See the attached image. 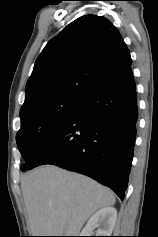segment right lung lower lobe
<instances>
[{
	"mask_svg": "<svg viewBox=\"0 0 158 237\" xmlns=\"http://www.w3.org/2000/svg\"><path fill=\"white\" fill-rule=\"evenodd\" d=\"M137 119L136 87L129 67L93 91L22 170L54 164L95 179L123 200Z\"/></svg>",
	"mask_w": 158,
	"mask_h": 237,
	"instance_id": "right-lung-lower-lobe-1",
	"label": "right lung lower lobe"
}]
</instances>
